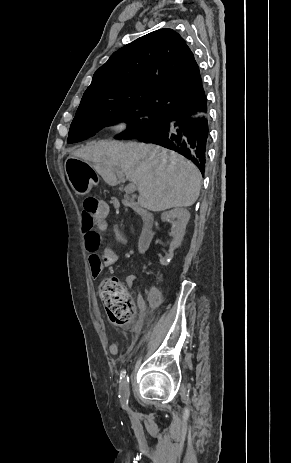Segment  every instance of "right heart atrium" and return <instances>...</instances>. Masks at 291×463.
<instances>
[{
	"instance_id": "1",
	"label": "right heart atrium",
	"mask_w": 291,
	"mask_h": 463,
	"mask_svg": "<svg viewBox=\"0 0 291 463\" xmlns=\"http://www.w3.org/2000/svg\"><path fill=\"white\" fill-rule=\"evenodd\" d=\"M124 127H125V123H124V122H119V123H117V124L114 126V128H115L116 130H122V129H124Z\"/></svg>"
}]
</instances>
